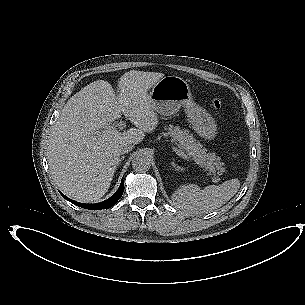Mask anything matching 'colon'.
Listing matches in <instances>:
<instances>
[{
    "label": "colon",
    "mask_w": 305,
    "mask_h": 305,
    "mask_svg": "<svg viewBox=\"0 0 305 305\" xmlns=\"http://www.w3.org/2000/svg\"><path fill=\"white\" fill-rule=\"evenodd\" d=\"M211 105L215 115L219 116L222 114V102L220 99H214Z\"/></svg>",
    "instance_id": "5ec220e1"
}]
</instances>
